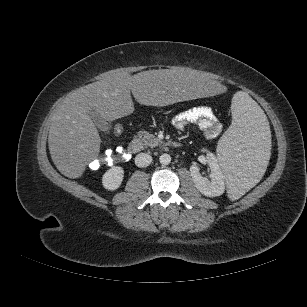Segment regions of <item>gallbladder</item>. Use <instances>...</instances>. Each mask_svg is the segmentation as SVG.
<instances>
[{
  "instance_id": "obj_1",
  "label": "gallbladder",
  "mask_w": 307,
  "mask_h": 307,
  "mask_svg": "<svg viewBox=\"0 0 307 307\" xmlns=\"http://www.w3.org/2000/svg\"><path fill=\"white\" fill-rule=\"evenodd\" d=\"M89 116L92 118L94 124L103 132H108L110 129L109 123L97 112L91 110Z\"/></svg>"
}]
</instances>
